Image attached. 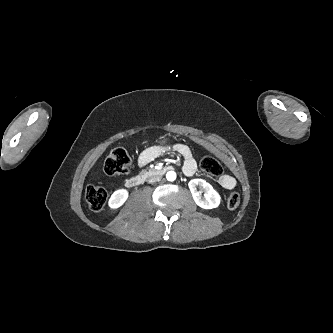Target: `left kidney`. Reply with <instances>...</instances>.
I'll return each instance as SVG.
<instances>
[{"mask_svg":"<svg viewBox=\"0 0 333 333\" xmlns=\"http://www.w3.org/2000/svg\"><path fill=\"white\" fill-rule=\"evenodd\" d=\"M189 189L192 193L195 203L204 209L216 208L220 204V196L213 187L203 179H192L189 182ZM203 188L205 194L201 196V192L197 191L196 186Z\"/></svg>","mask_w":333,"mask_h":333,"instance_id":"left-kidney-1","label":"left kidney"}]
</instances>
